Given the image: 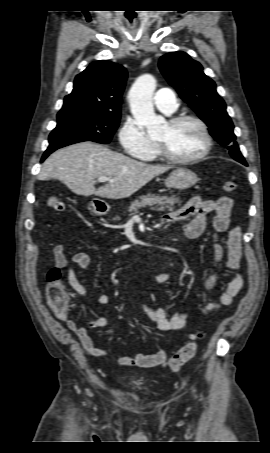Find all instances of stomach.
<instances>
[{
  "instance_id": "0dacf381",
  "label": "stomach",
  "mask_w": 270,
  "mask_h": 453,
  "mask_svg": "<svg viewBox=\"0 0 270 453\" xmlns=\"http://www.w3.org/2000/svg\"><path fill=\"white\" fill-rule=\"evenodd\" d=\"M197 181V175L191 170L187 168H176L166 179L165 185L170 189L185 190L195 185ZM92 206L95 214H105V210L96 202H92Z\"/></svg>"
}]
</instances>
